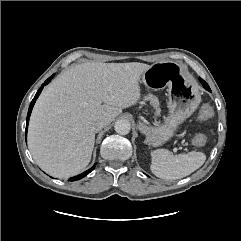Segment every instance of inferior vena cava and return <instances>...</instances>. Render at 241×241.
Segmentation results:
<instances>
[{"label":"inferior vena cava","mask_w":241,"mask_h":241,"mask_svg":"<svg viewBox=\"0 0 241 241\" xmlns=\"http://www.w3.org/2000/svg\"><path fill=\"white\" fill-rule=\"evenodd\" d=\"M106 125H107V120L105 118H99L93 122L92 129L94 132H98Z\"/></svg>","instance_id":"inferior-vena-cava-1"}]
</instances>
